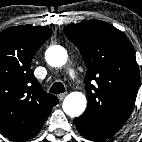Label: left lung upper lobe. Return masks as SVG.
Instances as JSON below:
<instances>
[{
	"mask_svg": "<svg viewBox=\"0 0 142 142\" xmlns=\"http://www.w3.org/2000/svg\"><path fill=\"white\" fill-rule=\"evenodd\" d=\"M86 67L88 106L80 118L108 136L132 113L140 81L134 48L127 36L109 23L90 20L64 28Z\"/></svg>",
	"mask_w": 142,
	"mask_h": 142,
	"instance_id": "1",
	"label": "left lung upper lobe"
}]
</instances>
